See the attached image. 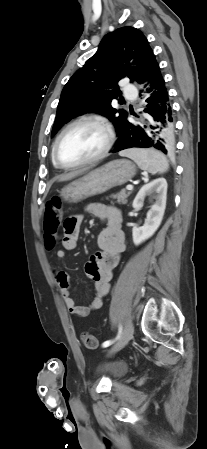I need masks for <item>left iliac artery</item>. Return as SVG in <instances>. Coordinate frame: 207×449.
<instances>
[{
    "label": "left iliac artery",
    "mask_w": 207,
    "mask_h": 449,
    "mask_svg": "<svg viewBox=\"0 0 207 449\" xmlns=\"http://www.w3.org/2000/svg\"><path fill=\"white\" fill-rule=\"evenodd\" d=\"M121 333H122V327L120 326V327H119V332H118L117 337H116L114 340H108V341H105V342L102 344V346H103V347H108V346H110L111 344H113L117 339H119V338L121 337Z\"/></svg>",
    "instance_id": "obj_1"
}]
</instances>
